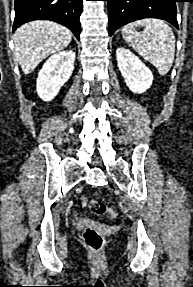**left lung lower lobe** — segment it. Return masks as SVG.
<instances>
[{
  "mask_svg": "<svg viewBox=\"0 0 193 287\" xmlns=\"http://www.w3.org/2000/svg\"><path fill=\"white\" fill-rule=\"evenodd\" d=\"M108 1L109 35L119 27L135 20L159 18L178 29L176 2L178 0H105Z\"/></svg>",
  "mask_w": 193,
  "mask_h": 287,
  "instance_id": "obj_1",
  "label": "left lung lower lobe"
}]
</instances>
